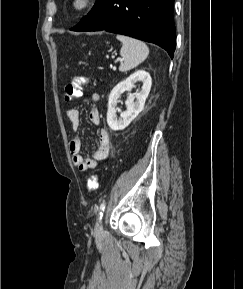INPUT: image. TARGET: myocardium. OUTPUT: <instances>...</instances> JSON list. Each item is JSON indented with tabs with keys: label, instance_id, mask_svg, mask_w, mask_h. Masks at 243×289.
I'll list each match as a JSON object with an SVG mask.
<instances>
[{
	"label": "myocardium",
	"instance_id": "obj_1",
	"mask_svg": "<svg viewBox=\"0 0 243 289\" xmlns=\"http://www.w3.org/2000/svg\"><path fill=\"white\" fill-rule=\"evenodd\" d=\"M95 3V0H71L70 8L73 12L81 14L90 11Z\"/></svg>",
	"mask_w": 243,
	"mask_h": 289
}]
</instances>
